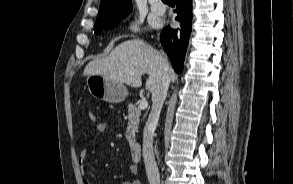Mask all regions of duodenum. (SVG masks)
Returning a JSON list of instances; mask_svg holds the SVG:
<instances>
[{
  "label": "duodenum",
  "instance_id": "410a0bca",
  "mask_svg": "<svg viewBox=\"0 0 293 184\" xmlns=\"http://www.w3.org/2000/svg\"><path fill=\"white\" fill-rule=\"evenodd\" d=\"M131 157L133 161H138L141 157L142 147L139 142L133 141L130 144Z\"/></svg>",
  "mask_w": 293,
  "mask_h": 184
}]
</instances>
